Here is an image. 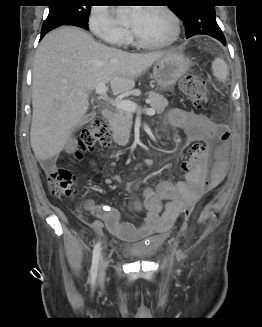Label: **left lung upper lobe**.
<instances>
[{
	"mask_svg": "<svg viewBox=\"0 0 262 327\" xmlns=\"http://www.w3.org/2000/svg\"><path fill=\"white\" fill-rule=\"evenodd\" d=\"M170 9L184 22L186 35L198 32H211L220 30L213 5L208 4L207 0H186V4L178 5V1L171 0ZM202 30V31H201Z\"/></svg>",
	"mask_w": 262,
	"mask_h": 327,
	"instance_id": "1",
	"label": "left lung upper lobe"
}]
</instances>
